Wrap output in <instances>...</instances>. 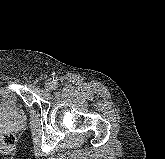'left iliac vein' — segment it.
I'll use <instances>...</instances> for the list:
<instances>
[{
  "label": "left iliac vein",
  "instance_id": "obj_1",
  "mask_svg": "<svg viewBox=\"0 0 165 159\" xmlns=\"http://www.w3.org/2000/svg\"><path fill=\"white\" fill-rule=\"evenodd\" d=\"M54 88V83L53 82H47L46 84H45V89L47 90V91H50V90H52Z\"/></svg>",
  "mask_w": 165,
  "mask_h": 159
}]
</instances>
